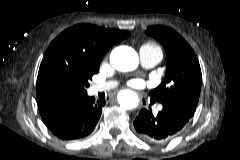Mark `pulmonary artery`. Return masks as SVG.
Here are the masks:
<instances>
[{"instance_id": "obj_1", "label": "pulmonary artery", "mask_w": 240, "mask_h": 160, "mask_svg": "<svg viewBox=\"0 0 240 160\" xmlns=\"http://www.w3.org/2000/svg\"><path fill=\"white\" fill-rule=\"evenodd\" d=\"M140 62L144 68H152L157 65L162 59L161 51L146 46H142L139 50ZM117 85L116 81H108L103 83L95 84L92 87L94 93L109 90ZM159 110L162 109L161 106L158 107Z\"/></svg>"}]
</instances>
